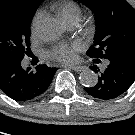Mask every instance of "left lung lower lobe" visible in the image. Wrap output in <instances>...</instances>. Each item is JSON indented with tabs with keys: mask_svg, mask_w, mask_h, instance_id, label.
<instances>
[{
	"mask_svg": "<svg viewBox=\"0 0 135 135\" xmlns=\"http://www.w3.org/2000/svg\"><path fill=\"white\" fill-rule=\"evenodd\" d=\"M108 66L100 71L96 65L90 68L97 74L98 82L93 87L85 88L92 97L110 100L122 95L135 81V58L110 56L106 58ZM94 59V63H99Z\"/></svg>",
	"mask_w": 135,
	"mask_h": 135,
	"instance_id": "1",
	"label": "left lung lower lobe"
}]
</instances>
